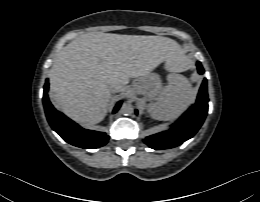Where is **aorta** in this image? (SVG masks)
<instances>
[{
  "instance_id": "aorta-1",
  "label": "aorta",
  "mask_w": 260,
  "mask_h": 202,
  "mask_svg": "<svg viewBox=\"0 0 260 202\" xmlns=\"http://www.w3.org/2000/svg\"><path fill=\"white\" fill-rule=\"evenodd\" d=\"M120 112L123 115L129 116V115H131L134 112V107L129 102L123 103L121 108H120Z\"/></svg>"
}]
</instances>
